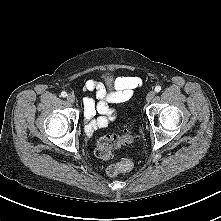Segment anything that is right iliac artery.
Wrapping results in <instances>:
<instances>
[{"label": "right iliac artery", "instance_id": "right-iliac-artery-1", "mask_svg": "<svg viewBox=\"0 0 221 221\" xmlns=\"http://www.w3.org/2000/svg\"><path fill=\"white\" fill-rule=\"evenodd\" d=\"M61 96H62V97H66V96H67V93H66L65 91H63V92L61 93Z\"/></svg>", "mask_w": 221, "mask_h": 221}]
</instances>
